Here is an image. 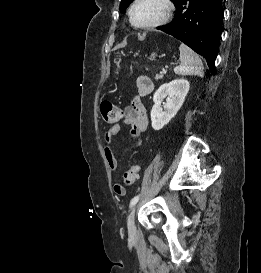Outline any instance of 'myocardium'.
<instances>
[{"label":"myocardium","instance_id":"f54148a6","mask_svg":"<svg viewBox=\"0 0 261 273\" xmlns=\"http://www.w3.org/2000/svg\"><path fill=\"white\" fill-rule=\"evenodd\" d=\"M141 1H143V0H134L128 10L129 22L133 28L138 29V30H148V29L156 28V27L166 24L172 18V15L174 12V4H173L172 0H158L163 6L162 14L152 22H149L146 24H141V25L135 23L134 18H133V12H134V9L136 8V6Z\"/></svg>","mask_w":261,"mask_h":273}]
</instances>
